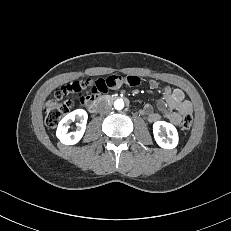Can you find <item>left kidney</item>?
<instances>
[{"label": "left kidney", "mask_w": 231, "mask_h": 231, "mask_svg": "<svg viewBox=\"0 0 231 231\" xmlns=\"http://www.w3.org/2000/svg\"><path fill=\"white\" fill-rule=\"evenodd\" d=\"M167 134V137L165 136ZM153 134L156 143L164 149H173L178 144V132L176 128L168 122L157 121L153 124Z\"/></svg>", "instance_id": "5707ae66"}]
</instances>
